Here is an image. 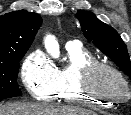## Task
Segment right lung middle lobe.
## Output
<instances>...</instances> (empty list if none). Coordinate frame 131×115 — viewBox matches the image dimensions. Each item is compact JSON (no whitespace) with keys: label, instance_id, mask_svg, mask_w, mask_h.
I'll return each instance as SVG.
<instances>
[{"label":"right lung middle lobe","instance_id":"obj_1","mask_svg":"<svg viewBox=\"0 0 131 115\" xmlns=\"http://www.w3.org/2000/svg\"><path fill=\"white\" fill-rule=\"evenodd\" d=\"M26 51L13 53L8 60L0 61V101L21 95L17 84V77L19 61L25 55Z\"/></svg>","mask_w":131,"mask_h":115}]
</instances>
